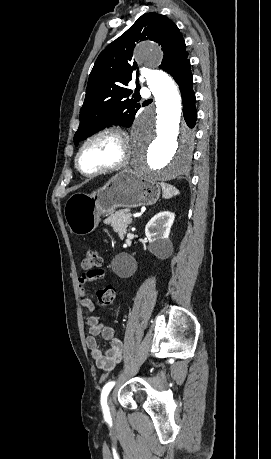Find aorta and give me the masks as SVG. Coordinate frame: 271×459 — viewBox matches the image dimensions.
<instances>
[{
    "label": "aorta",
    "mask_w": 271,
    "mask_h": 459,
    "mask_svg": "<svg viewBox=\"0 0 271 459\" xmlns=\"http://www.w3.org/2000/svg\"><path fill=\"white\" fill-rule=\"evenodd\" d=\"M136 58L152 68H143L155 106L138 118L132 137L131 163L135 172L148 180H168L190 165L194 133L181 118V97L172 78L155 69L163 53L154 42L144 41L135 48Z\"/></svg>",
    "instance_id": "762f6f07"
}]
</instances>
